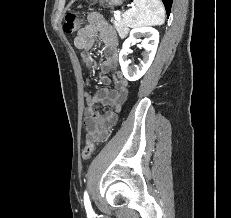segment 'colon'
I'll return each mask as SVG.
<instances>
[{
  "instance_id": "obj_1",
  "label": "colon",
  "mask_w": 231,
  "mask_h": 218,
  "mask_svg": "<svg viewBox=\"0 0 231 218\" xmlns=\"http://www.w3.org/2000/svg\"><path fill=\"white\" fill-rule=\"evenodd\" d=\"M82 25V19L76 13H68L65 17L63 25L64 31L68 34L76 32ZM95 151V144L93 141H87L83 151L82 158L88 160Z\"/></svg>"
}]
</instances>
